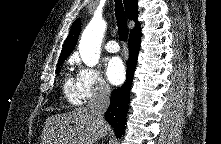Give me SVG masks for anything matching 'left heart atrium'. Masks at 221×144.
Here are the masks:
<instances>
[{
	"instance_id": "obj_1",
	"label": "left heart atrium",
	"mask_w": 221,
	"mask_h": 144,
	"mask_svg": "<svg viewBox=\"0 0 221 144\" xmlns=\"http://www.w3.org/2000/svg\"><path fill=\"white\" fill-rule=\"evenodd\" d=\"M105 71L108 80L114 85L122 83L125 78V67L119 57L109 58L105 64Z\"/></svg>"
}]
</instances>
